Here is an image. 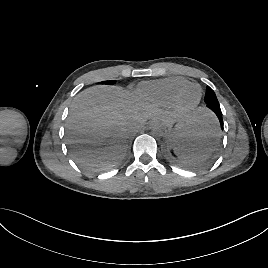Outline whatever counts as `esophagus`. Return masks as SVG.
I'll use <instances>...</instances> for the list:
<instances>
[{
  "label": "esophagus",
  "instance_id": "1",
  "mask_svg": "<svg viewBox=\"0 0 268 268\" xmlns=\"http://www.w3.org/2000/svg\"><path fill=\"white\" fill-rule=\"evenodd\" d=\"M160 125V121L157 120V119H153L151 122H150V126L151 127H155V126H159Z\"/></svg>",
  "mask_w": 268,
  "mask_h": 268
}]
</instances>
